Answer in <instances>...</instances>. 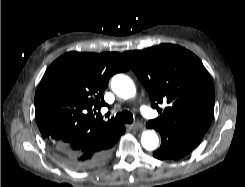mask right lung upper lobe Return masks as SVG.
<instances>
[{
  "label": "right lung upper lobe",
  "instance_id": "right-lung-upper-lobe-1",
  "mask_svg": "<svg viewBox=\"0 0 245 187\" xmlns=\"http://www.w3.org/2000/svg\"><path fill=\"white\" fill-rule=\"evenodd\" d=\"M127 70L117 52H68L48 67L35 94V117L54 150L116 127L95 118L93 111L107 105L103 92L110 77Z\"/></svg>",
  "mask_w": 245,
  "mask_h": 187
}]
</instances>
